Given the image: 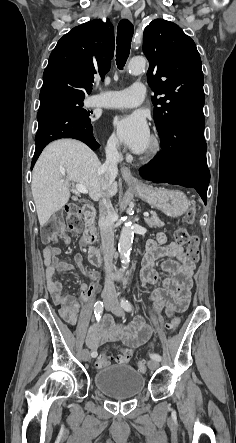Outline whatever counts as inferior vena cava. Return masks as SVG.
Instances as JSON below:
<instances>
[{"instance_id": "obj_1", "label": "inferior vena cava", "mask_w": 236, "mask_h": 443, "mask_svg": "<svg viewBox=\"0 0 236 443\" xmlns=\"http://www.w3.org/2000/svg\"><path fill=\"white\" fill-rule=\"evenodd\" d=\"M118 140L111 137L106 147V161L99 168V174L104 180L107 189L115 180L118 163L122 160V154L117 149ZM99 227L102 241V253L106 272L104 284V301L107 304L118 303L117 293L112 280L113 255H114V209L109 197L104 196L99 202Z\"/></svg>"}]
</instances>
